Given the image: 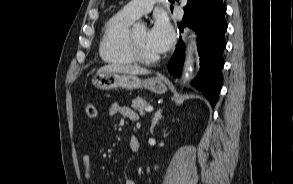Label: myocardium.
Segmentation results:
<instances>
[{
	"instance_id": "myocardium-1",
	"label": "myocardium",
	"mask_w": 293,
	"mask_h": 184,
	"mask_svg": "<svg viewBox=\"0 0 293 184\" xmlns=\"http://www.w3.org/2000/svg\"><path fill=\"white\" fill-rule=\"evenodd\" d=\"M129 46H130V51H131V54H132L134 60L139 63L153 64L160 59V57L158 55L153 56V57H147V56L143 55L139 49V46H138L135 38H134L133 32H130V35H129Z\"/></svg>"
}]
</instances>
